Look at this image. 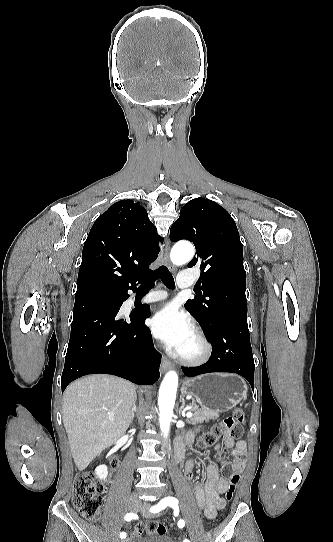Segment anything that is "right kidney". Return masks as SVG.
I'll return each mask as SVG.
<instances>
[{
    "mask_svg": "<svg viewBox=\"0 0 333 542\" xmlns=\"http://www.w3.org/2000/svg\"><path fill=\"white\" fill-rule=\"evenodd\" d=\"M95 474L97 478H100V480H106L108 476V468L107 466H97L95 470Z\"/></svg>",
    "mask_w": 333,
    "mask_h": 542,
    "instance_id": "obj_1",
    "label": "right kidney"
}]
</instances>
